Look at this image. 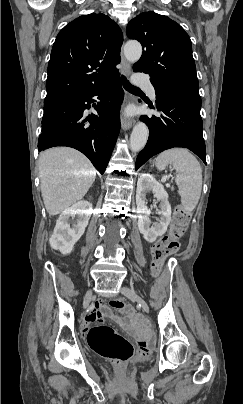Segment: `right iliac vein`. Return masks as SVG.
Here are the masks:
<instances>
[{
    "label": "right iliac vein",
    "instance_id": "obj_1",
    "mask_svg": "<svg viewBox=\"0 0 243 404\" xmlns=\"http://www.w3.org/2000/svg\"><path fill=\"white\" fill-rule=\"evenodd\" d=\"M91 298H92V290H88L83 301V305L85 308L88 307Z\"/></svg>",
    "mask_w": 243,
    "mask_h": 404
}]
</instances>
